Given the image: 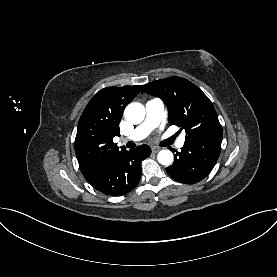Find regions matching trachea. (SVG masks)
<instances>
[{
  "label": "trachea",
  "mask_w": 277,
  "mask_h": 277,
  "mask_svg": "<svg viewBox=\"0 0 277 277\" xmlns=\"http://www.w3.org/2000/svg\"><path fill=\"white\" fill-rule=\"evenodd\" d=\"M127 146H128L129 148H133V147L135 146V144H134L133 142H128V143H127Z\"/></svg>",
  "instance_id": "obj_1"
}]
</instances>
